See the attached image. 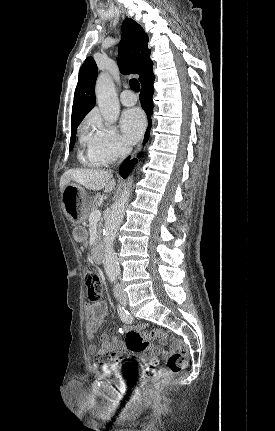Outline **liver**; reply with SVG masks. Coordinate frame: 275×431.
<instances>
[{
    "mask_svg": "<svg viewBox=\"0 0 275 431\" xmlns=\"http://www.w3.org/2000/svg\"><path fill=\"white\" fill-rule=\"evenodd\" d=\"M71 181L78 183L93 191L104 189L105 193H110L116 185L111 172L93 169H70L64 172L60 179V191Z\"/></svg>",
    "mask_w": 275,
    "mask_h": 431,
    "instance_id": "liver-1",
    "label": "liver"
}]
</instances>
